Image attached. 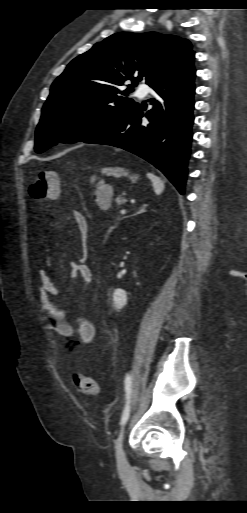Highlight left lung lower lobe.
<instances>
[{"instance_id":"0a47b994","label":"left lung lower lobe","mask_w":247,"mask_h":513,"mask_svg":"<svg viewBox=\"0 0 247 513\" xmlns=\"http://www.w3.org/2000/svg\"><path fill=\"white\" fill-rule=\"evenodd\" d=\"M193 62L191 57L172 76L151 86L156 94L150 99L153 108L145 115L137 105L108 130L84 142L115 146L140 156L183 194L194 121ZM144 116L147 123L142 122Z\"/></svg>"}]
</instances>
